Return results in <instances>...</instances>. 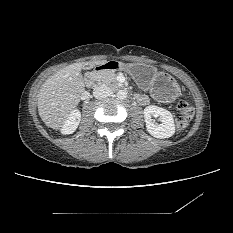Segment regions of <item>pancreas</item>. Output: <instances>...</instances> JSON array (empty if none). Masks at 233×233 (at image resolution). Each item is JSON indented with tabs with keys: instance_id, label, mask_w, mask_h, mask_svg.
Returning <instances> with one entry per match:
<instances>
[{
	"instance_id": "cf45deb5",
	"label": "pancreas",
	"mask_w": 233,
	"mask_h": 233,
	"mask_svg": "<svg viewBox=\"0 0 233 233\" xmlns=\"http://www.w3.org/2000/svg\"><path fill=\"white\" fill-rule=\"evenodd\" d=\"M97 80L100 84L120 86L117 82V74L110 70H104L97 74Z\"/></svg>"
}]
</instances>
